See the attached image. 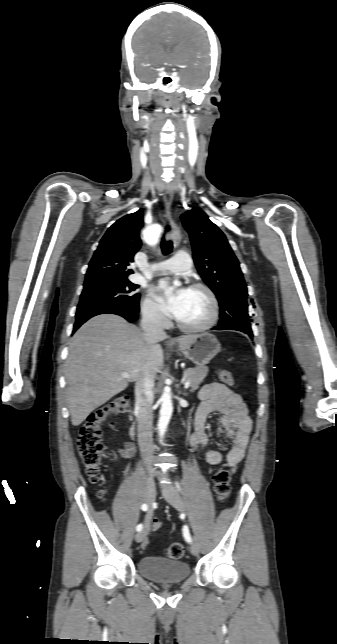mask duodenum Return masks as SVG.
I'll list each match as a JSON object with an SVG mask.
<instances>
[{"instance_id": "duodenum-1", "label": "duodenum", "mask_w": 337, "mask_h": 644, "mask_svg": "<svg viewBox=\"0 0 337 644\" xmlns=\"http://www.w3.org/2000/svg\"><path fill=\"white\" fill-rule=\"evenodd\" d=\"M136 428H137V424H136V421H135V422L133 423V425L131 426V428H130V436H131L132 438H133V437H135V434H136Z\"/></svg>"}]
</instances>
